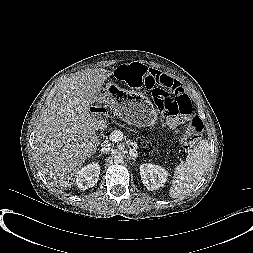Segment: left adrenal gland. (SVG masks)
I'll return each mask as SVG.
<instances>
[{"instance_id":"left-adrenal-gland-1","label":"left adrenal gland","mask_w":253,"mask_h":253,"mask_svg":"<svg viewBox=\"0 0 253 253\" xmlns=\"http://www.w3.org/2000/svg\"><path fill=\"white\" fill-rule=\"evenodd\" d=\"M130 159H132V160H134V161H135V159H136V158L131 156V157H130Z\"/></svg>"}]
</instances>
